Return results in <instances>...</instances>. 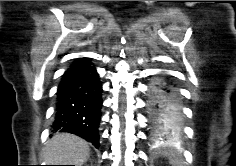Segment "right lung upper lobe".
<instances>
[{"label":"right lung upper lobe","instance_id":"cb5924a9","mask_svg":"<svg viewBox=\"0 0 236 166\" xmlns=\"http://www.w3.org/2000/svg\"><path fill=\"white\" fill-rule=\"evenodd\" d=\"M84 59H87V58H82V59H79V60H84Z\"/></svg>","mask_w":236,"mask_h":166}]
</instances>
